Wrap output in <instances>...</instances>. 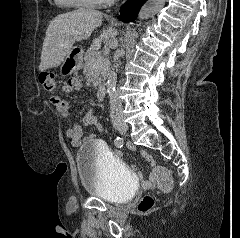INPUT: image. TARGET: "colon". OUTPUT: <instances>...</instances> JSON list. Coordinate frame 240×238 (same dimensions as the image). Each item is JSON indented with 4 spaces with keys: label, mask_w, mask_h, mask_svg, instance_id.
I'll return each mask as SVG.
<instances>
[{
    "label": "colon",
    "mask_w": 240,
    "mask_h": 238,
    "mask_svg": "<svg viewBox=\"0 0 240 238\" xmlns=\"http://www.w3.org/2000/svg\"><path fill=\"white\" fill-rule=\"evenodd\" d=\"M39 81L42 87L49 92L56 88V78L54 73L50 71H42L39 75ZM154 181L162 191H169L173 186V179L170 172L161 166H157L153 171ZM154 205V200L150 195L144 196L138 204V209L141 212L149 211Z\"/></svg>",
    "instance_id": "5ec220e1"
}]
</instances>
